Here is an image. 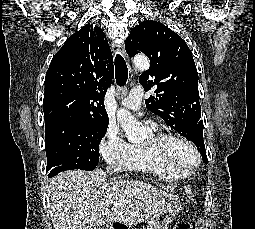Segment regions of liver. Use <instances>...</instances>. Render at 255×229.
<instances>
[{"label": "liver", "instance_id": "liver-1", "mask_svg": "<svg viewBox=\"0 0 255 229\" xmlns=\"http://www.w3.org/2000/svg\"><path fill=\"white\" fill-rule=\"evenodd\" d=\"M47 191L54 229H88L116 222L136 225L176 197L139 180L107 182L101 169L63 172L49 181Z\"/></svg>", "mask_w": 255, "mask_h": 229}]
</instances>
